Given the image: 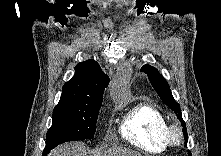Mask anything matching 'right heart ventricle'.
Instances as JSON below:
<instances>
[{
  "mask_svg": "<svg viewBox=\"0 0 221 156\" xmlns=\"http://www.w3.org/2000/svg\"><path fill=\"white\" fill-rule=\"evenodd\" d=\"M169 127V121L158 108L149 103H141L124 115L119 131L136 148L158 154L170 146Z\"/></svg>",
  "mask_w": 221,
  "mask_h": 156,
  "instance_id": "e07e8e85",
  "label": "right heart ventricle"
}]
</instances>
